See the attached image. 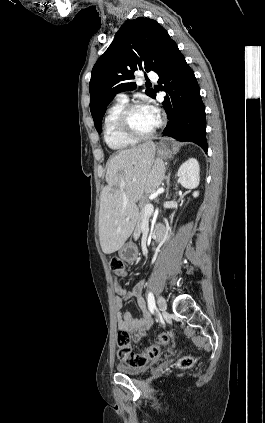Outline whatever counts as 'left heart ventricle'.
<instances>
[{
	"mask_svg": "<svg viewBox=\"0 0 265 423\" xmlns=\"http://www.w3.org/2000/svg\"><path fill=\"white\" fill-rule=\"evenodd\" d=\"M129 122L135 132L146 134L156 127L158 120L152 115L148 107H140L132 111Z\"/></svg>",
	"mask_w": 265,
	"mask_h": 423,
	"instance_id": "left-heart-ventricle-1",
	"label": "left heart ventricle"
}]
</instances>
